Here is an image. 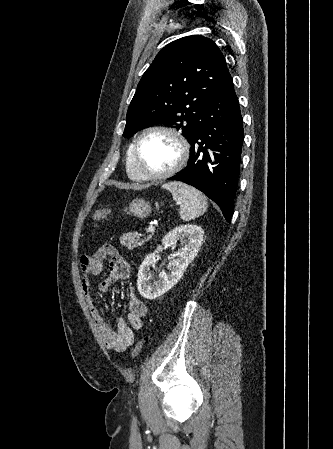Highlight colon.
<instances>
[{
    "instance_id": "obj_1",
    "label": "colon",
    "mask_w": 333,
    "mask_h": 449,
    "mask_svg": "<svg viewBox=\"0 0 333 449\" xmlns=\"http://www.w3.org/2000/svg\"><path fill=\"white\" fill-rule=\"evenodd\" d=\"M110 211L108 209H99L93 214V220L96 222L102 221L106 219L109 216ZM145 339L139 340L132 348L131 356L133 358H136L140 355L143 346H144Z\"/></svg>"
}]
</instances>
